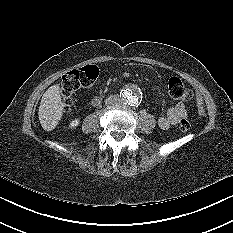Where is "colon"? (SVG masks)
Masks as SVG:
<instances>
[{"label":"colon","mask_w":233,"mask_h":233,"mask_svg":"<svg viewBox=\"0 0 233 233\" xmlns=\"http://www.w3.org/2000/svg\"><path fill=\"white\" fill-rule=\"evenodd\" d=\"M99 76V69L95 65H87L79 69L67 72L62 77L61 96L65 110L72 105V95L81 88L92 86ZM168 91L172 98L180 101H189L193 97L192 90L178 77H171L168 80ZM181 131H187L190 123L186 118L179 122Z\"/></svg>","instance_id":"colon-1"}]
</instances>
